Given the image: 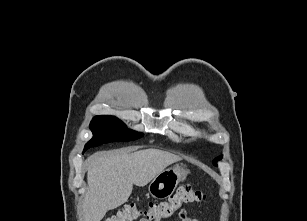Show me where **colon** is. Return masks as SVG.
I'll return each instance as SVG.
<instances>
[{"label": "colon", "instance_id": "5ec220e1", "mask_svg": "<svg viewBox=\"0 0 307 221\" xmlns=\"http://www.w3.org/2000/svg\"><path fill=\"white\" fill-rule=\"evenodd\" d=\"M205 194L190 185L180 186L167 200L150 201L144 206L129 203L114 216L104 221H162L171 218L185 204L205 200Z\"/></svg>", "mask_w": 307, "mask_h": 221}]
</instances>
